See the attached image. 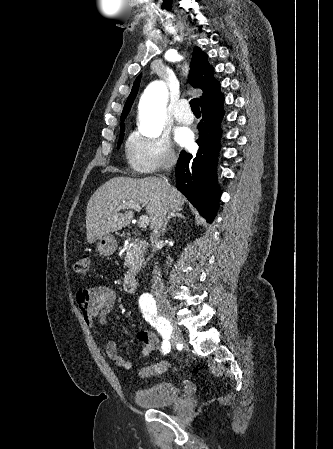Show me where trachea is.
<instances>
[{"instance_id":"obj_1","label":"trachea","mask_w":333,"mask_h":449,"mask_svg":"<svg viewBox=\"0 0 333 449\" xmlns=\"http://www.w3.org/2000/svg\"><path fill=\"white\" fill-rule=\"evenodd\" d=\"M190 106L193 112H200L199 108V100L198 98H194L190 101Z\"/></svg>"}]
</instances>
